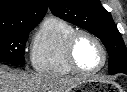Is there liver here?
Here are the masks:
<instances>
[{
	"label": "liver",
	"instance_id": "1",
	"mask_svg": "<svg viewBox=\"0 0 127 92\" xmlns=\"http://www.w3.org/2000/svg\"><path fill=\"white\" fill-rule=\"evenodd\" d=\"M85 77L28 75L0 65V92H70Z\"/></svg>",
	"mask_w": 127,
	"mask_h": 92
}]
</instances>
